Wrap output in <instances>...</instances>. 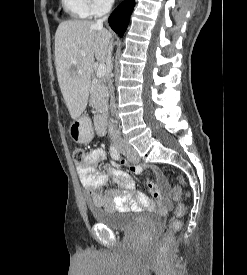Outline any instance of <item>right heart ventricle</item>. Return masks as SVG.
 <instances>
[{
    "label": "right heart ventricle",
    "mask_w": 247,
    "mask_h": 275,
    "mask_svg": "<svg viewBox=\"0 0 247 275\" xmlns=\"http://www.w3.org/2000/svg\"><path fill=\"white\" fill-rule=\"evenodd\" d=\"M61 4L65 12L73 18L87 19L93 15L89 0H61Z\"/></svg>",
    "instance_id": "1"
}]
</instances>
